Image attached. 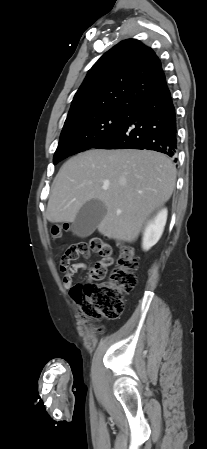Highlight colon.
<instances>
[{"label": "colon", "mask_w": 207, "mask_h": 449, "mask_svg": "<svg viewBox=\"0 0 207 449\" xmlns=\"http://www.w3.org/2000/svg\"><path fill=\"white\" fill-rule=\"evenodd\" d=\"M68 230L67 224H53L50 233L57 239L62 232ZM91 252L102 257L92 270L91 279L94 281L76 284L70 294L87 318L117 319L123 311L124 295L132 291L137 284L138 260L129 245L121 244L115 268L108 280L102 281L107 267L114 262V257L112 248L102 239L95 237L69 246L61 257V266L66 267L79 257L87 258Z\"/></svg>", "instance_id": "colon-1"}]
</instances>
